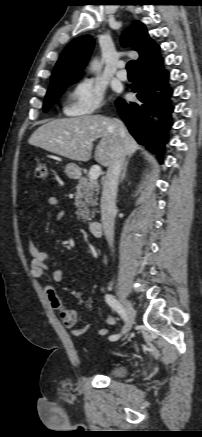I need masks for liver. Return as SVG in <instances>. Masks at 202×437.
Listing matches in <instances>:
<instances>
[{
	"mask_svg": "<svg viewBox=\"0 0 202 437\" xmlns=\"http://www.w3.org/2000/svg\"><path fill=\"white\" fill-rule=\"evenodd\" d=\"M100 138L95 160L104 167L113 162L115 150L121 147L125 156L133 155L139 144L123 123L101 115H85L49 121L40 126L28 140L30 145L65 158L87 162L93 142Z\"/></svg>",
	"mask_w": 202,
	"mask_h": 437,
	"instance_id": "1",
	"label": "liver"
}]
</instances>
